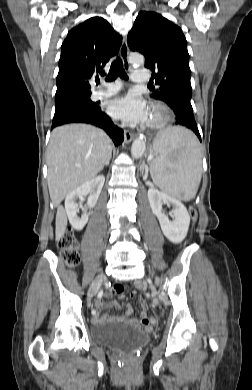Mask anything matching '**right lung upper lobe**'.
I'll return each mask as SVG.
<instances>
[{
    "label": "right lung upper lobe",
    "mask_w": 252,
    "mask_h": 390,
    "mask_svg": "<svg viewBox=\"0 0 252 390\" xmlns=\"http://www.w3.org/2000/svg\"><path fill=\"white\" fill-rule=\"evenodd\" d=\"M122 37L102 17H92L69 31L61 46L55 101L91 95L89 79L118 53Z\"/></svg>",
    "instance_id": "obj_1"
}]
</instances>
